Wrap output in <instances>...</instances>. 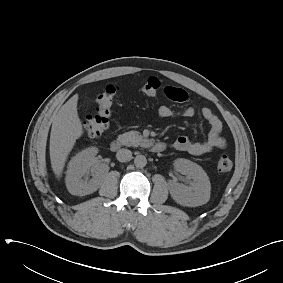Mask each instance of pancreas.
<instances>
[{"instance_id": "1", "label": "pancreas", "mask_w": 283, "mask_h": 283, "mask_svg": "<svg viewBox=\"0 0 283 283\" xmlns=\"http://www.w3.org/2000/svg\"><path fill=\"white\" fill-rule=\"evenodd\" d=\"M118 141L125 146L145 145L148 141L137 131H129L118 136Z\"/></svg>"}]
</instances>
